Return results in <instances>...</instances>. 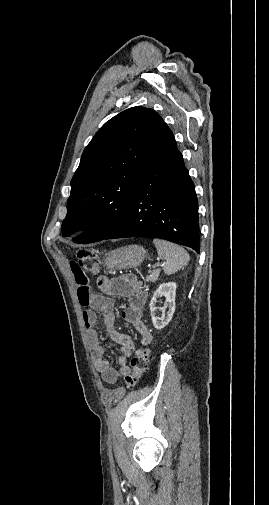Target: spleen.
I'll use <instances>...</instances> for the list:
<instances>
[{"label": "spleen", "instance_id": "spleen-1", "mask_svg": "<svg viewBox=\"0 0 269 505\" xmlns=\"http://www.w3.org/2000/svg\"><path fill=\"white\" fill-rule=\"evenodd\" d=\"M153 243L158 256L165 261L163 267L165 274H173L188 264L190 256L183 247L158 238L153 239Z\"/></svg>", "mask_w": 269, "mask_h": 505}]
</instances>
